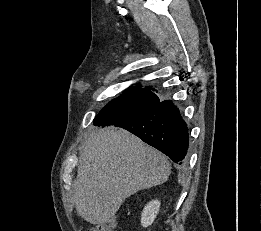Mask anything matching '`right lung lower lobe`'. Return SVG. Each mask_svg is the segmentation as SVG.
I'll return each mask as SVG.
<instances>
[{
    "mask_svg": "<svg viewBox=\"0 0 261 231\" xmlns=\"http://www.w3.org/2000/svg\"><path fill=\"white\" fill-rule=\"evenodd\" d=\"M115 126L135 134L175 163L185 164L189 144L188 127L171 100L160 101L152 108Z\"/></svg>",
    "mask_w": 261,
    "mask_h": 231,
    "instance_id": "obj_1",
    "label": "right lung lower lobe"
}]
</instances>
